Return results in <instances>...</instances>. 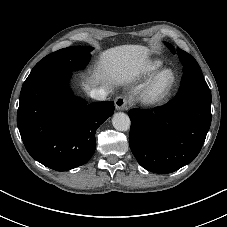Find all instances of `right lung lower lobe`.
<instances>
[{"mask_svg": "<svg viewBox=\"0 0 227 227\" xmlns=\"http://www.w3.org/2000/svg\"><path fill=\"white\" fill-rule=\"evenodd\" d=\"M70 73H55L23 85L17 125L28 153L41 164L66 171L85 164L96 148L97 128L114 102L87 104L68 87Z\"/></svg>", "mask_w": 227, "mask_h": 227, "instance_id": "right-lung-lower-lobe-1", "label": "right lung lower lobe"}]
</instances>
